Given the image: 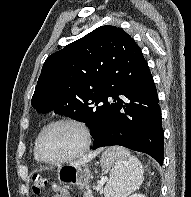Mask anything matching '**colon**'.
I'll list each match as a JSON object with an SVG mask.
<instances>
[{"instance_id":"colon-1","label":"colon","mask_w":191,"mask_h":197,"mask_svg":"<svg viewBox=\"0 0 191 197\" xmlns=\"http://www.w3.org/2000/svg\"><path fill=\"white\" fill-rule=\"evenodd\" d=\"M33 186L32 190L34 194H41L48 186V179L41 175V174H34L32 177ZM63 197H67V194L65 192H61Z\"/></svg>"}]
</instances>
